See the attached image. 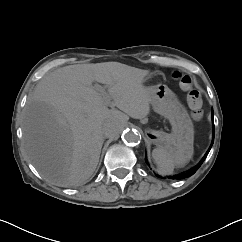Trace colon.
<instances>
[{"mask_svg":"<svg viewBox=\"0 0 242 242\" xmlns=\"http://www.w3.org/2000/svg\"><path fill=\"white\" fill-rule=\"evenodd\" d=\"M172 76L179 82L180 87L187 92V103L192 117L200 119L202 117L203 100L200 92L193 86L192 77L180 71H175Z\"/></svg>","mask_w":242,"mask_h":242,"instance_id":"1","label":"colon"}]
</instances>
